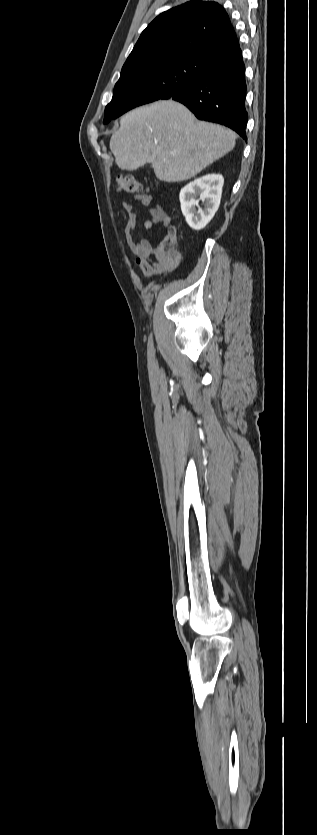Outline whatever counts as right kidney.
<instances>
[{
	"instance_id": "1",
	"label": "right kidney",
	"mask_w": 317,
	"mask_h": 835,
	"mask_svg": "<svg viewBox=\"0 0 317 835\" xmlns=\"http://www.w3.org/2000/svg\"><path fill=\"white\" fill-rule=\"evenodd\" d=\"M223 184L222 175L208 174L181 189V210L192 229L201 230L211 221L220 205ZM200 200L205 202L204 209L199 207Z\"/></svg>"
}]
</instances>
